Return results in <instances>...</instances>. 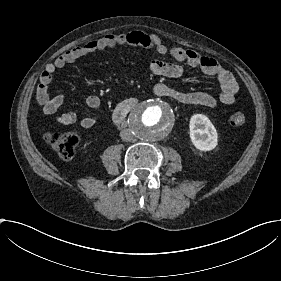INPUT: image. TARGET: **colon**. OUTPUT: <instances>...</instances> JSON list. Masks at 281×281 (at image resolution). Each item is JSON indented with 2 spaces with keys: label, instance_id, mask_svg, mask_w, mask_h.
Instances as JSON below:
<instances>
[{
  "label": "colon",
  "instance_id": "colon-1",
  "mask_svg": "<svg viewBox=\"0 0 281 281\" xmlns=\"http://www.w3.org/2000/svg\"><path fill=\"white\" fill-rule=\"evenodd\" d=\"M245 121L244 112L236 110L231 113L230 122L233 126L241 127L245 124ZM46 141L61 157L71 159L75 156L79 138L72 132L57 131L50 133Z\"/></svg>",
  "mask_w": 281,
  "mask_h": 281
}]
</instances>
